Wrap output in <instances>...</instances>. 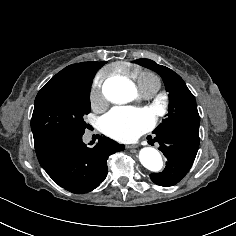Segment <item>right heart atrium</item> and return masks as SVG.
I'll list each match as a JSON object with an SVG mask.
<instances>
[{"label":"right heart atrium","instance_id":"d8ad5b80","mask_svg":"<svg viewBox=\"0 0 236 236\" xmlns=\"http://www.w3.org/2000/svg\"><path fill=\"white\" fill-rule=\"evenodd\" d=\"M105 81V73H100L93 82V87H92V96L93 98L98 101L103 98L102 95V86Z\"/></svg>","mask_w":236,"mask_h":236}]
</instances>
